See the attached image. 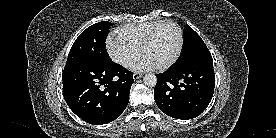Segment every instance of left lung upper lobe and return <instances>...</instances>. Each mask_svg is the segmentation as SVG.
<instances>
[{"label":"left lung upper lobe","instance_id":"left-lung-upper-lobe-1","mask_svg":"<svg viewBox=\"0 0 276 138\" xmlns=\"http://www.w3.org/2000/svg\"><path fill=\"white\" fill-rule=\"evenodd\" d=\"M184 46L178 62L171 67L189 65L198 60L212 58L207 46L201 37L188 25L184 29Z\"/></svg>","mask_w":276,"mask_h":138}]
</instances>
